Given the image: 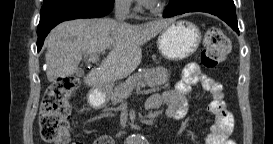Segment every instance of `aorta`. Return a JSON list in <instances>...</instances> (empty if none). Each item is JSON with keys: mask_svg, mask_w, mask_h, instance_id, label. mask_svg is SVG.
<instances>
[{"mask_svg": "<svg viewBox=\"0 0 273 144\" xmlns=\"http://www.w3.org/2000/svg\"><path fill=\"white\" fill-rule=\"evenodd\" d=\"M132 144H136L138 142H141V138L139 136H134L131 138Z\"/></svg>", "mask_w": 273, "mask_h": 144, "instance_id": "1", "label": "aorta"}]
</instances>
